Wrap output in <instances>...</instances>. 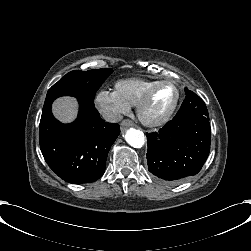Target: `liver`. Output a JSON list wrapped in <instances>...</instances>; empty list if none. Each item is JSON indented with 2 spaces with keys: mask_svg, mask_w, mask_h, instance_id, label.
<instances>
[{
  "mask_svg": "<svg viewBox=\"0 0 251 251\" xmlns=\"http://www.w3.org/2000/svg\"><path fill=\"white\" fill-rule=\"evenodd\" d=\"M77 101L72 97L58 98L52 106L54 116L63 123L72 122L77 116Z\"/></svg>",
  "mask_w": 251,
  "mask_h": 251,
  "instance_id": "1",
  "label": "liver"
}]
</instances>
